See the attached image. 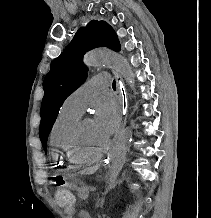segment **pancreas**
I'll return each mask as SVG.
<instances>
[{
  "instance_id": "pancreas-1",
  "label": "pancreas",
  "mask_w": 211,
  "mask_h": 218,
  "mask_svg": "<svg viewBox=\"0 0 211 218\" xmlns=\"http://www.w3.org/2000/svg\"><path fill=\"white\" fill-rule=\"evenodd\" d=\"M86 186H82V188H78V198H81V200H86L89 196V192L87 190Z\"/></svg>"
}]
</instances>
